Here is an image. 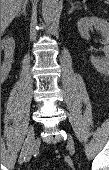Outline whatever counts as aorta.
<instances>
[{
  "label": "aorta",
  "mask_w": 109,
  "mask_h": 170,
  "mask_svg": "<svg viewBox=\"0 0 109 170\" xmlns=\"http://www.w3.org/2000/svg\"><path fill=\"white\" fill-rule=\"evenodd\" d=\"M59 0H43L42 1V16L46 23H51L57 13Z\"/></svg>",
  "instance_id": "obj_1"
}]
</instances>
